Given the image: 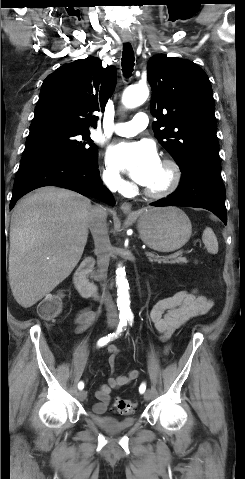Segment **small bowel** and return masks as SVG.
I'll return each mask as SVG.
<instances>
[{"instance_id":"obj_1","label":"small bowel","mask_w":245,"mask_h":479,"mask_svg":"<svg viewBox=\"0 0 245 479\" xmlns=\"http://www.w3.org/2000/svg\"><path fill=\"white\" fill-rule=\"evenodd\" d=\"M212 307V300L206 296L200 295L195 291H179L172 296L160 299L149 311V320L154 325L163 342H168L172 333L185 325L192 318L207 313ZM98 313L90 308L80 310L75 317L76 333L83 332L94 323ZM169 351L167 345L163 352ZM107 352L110 354L109 364L112 368L115 365L118 348L115 345H109ZM140 372L136 369L129 370L125 375L110 377L106 384H103L96 392L97 402L92 410L95 414H103L109 403L111 392L126 386L136 380Z\"/></svg>"}]
</instances>
